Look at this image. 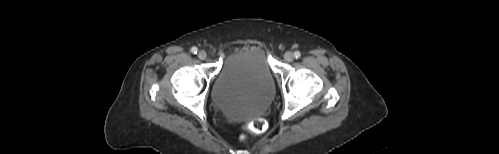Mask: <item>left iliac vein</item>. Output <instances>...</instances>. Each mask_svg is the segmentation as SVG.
Segmentation results:
<instances>
[{
    "label": "left iliac vein",
    "mask_w": 499,
    "mask_h": 154,
    "mask_svg": "<svg viewBox=\"0 0 499 154\" xmlns=\"http://www.w3.org/2000/svg\"><path fill=\"white\" fill-rule=\"evenodd\" d=\"M284 58L286 61L291 62L294 59V55L292 52L288 51L284 54Z\"/></svg>",
    "instance_id": "4c4485c4"
}]
</instances>
